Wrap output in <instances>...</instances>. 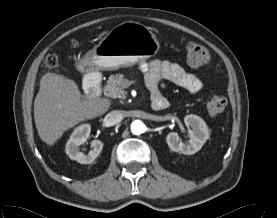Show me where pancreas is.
<instances>
[{
  "instance_id": "1",
  "label": "pancreas",
  "mask_w": 277,
  "mask_h": 218,
  "mask_svg": "<svg viewBox=\"0 0 277 218\" xmlns=\"http://www.w3.org/2000/svg\"><path fill=\"white\" fill-rule=\"evenodd\" d=\"M124 81L123 74L110 75L104 87L105 95L111 98H125Z\"/></svg>"
}]
</instances>
